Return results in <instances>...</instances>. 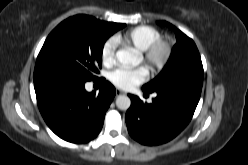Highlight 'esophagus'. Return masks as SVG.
I'll list each match as a JSON object with an SVG mask.
<instances>
[{"label":"esophagus","mask_w":248,"mask_h":165,"mask_svg":"<svg viewBox=\"0 0 248 165\" xmlns=\"http://www.w3.org/2000/svg\"><path fill=\"white\" fill-rule=\"evenodd\" d=\"M124 94V91L120 90V89H116V96L122 95Z\"/></svg>","instance_id":"1"}]
</instances>
